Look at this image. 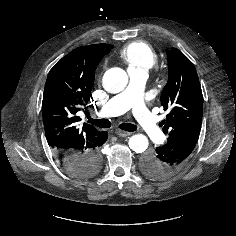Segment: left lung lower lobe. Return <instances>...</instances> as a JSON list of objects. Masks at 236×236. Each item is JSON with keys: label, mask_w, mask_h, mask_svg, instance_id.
Returning <instances> with one entry per match:
<instances>
[{"label": "left lung lower lobe", "mask_w": 236, "mask_h": 236, "mask_svg": "<svg viewBox=\"0 0 236 236\" xmlns=\"http://www.w3.org/2000/svg\"><path fill=\"white\" fill-rule=\"evenodd\" d=\"M199 134L177 136L142 158L141 168L148 177L162 180L181 170L193 151Z\"/></svg>", "instance_id": "1"}]
</instances>
